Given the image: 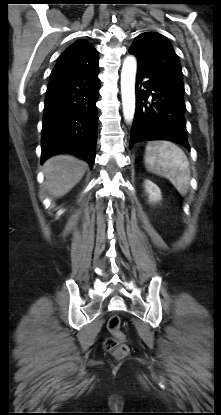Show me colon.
Listing matches in <instances>:
<instances>
[{"mask_svg":"<svg viewBox=\"0 0 221 415\" xmlns=\"http://www.w3.org/2000/svg\"><path fill=\"white\" fill-rule=\"evenodd\" d=\"M106 326L112 336L105 340V349L116 358H123L127 356L129 348L126 344L122 343L124 336L120 331L121 320L119 316H110L107 320Z\"/></svg>","mask_w":221,"mask_h":415,"instance_id":"colon-1","label":"colon"}]
</instances>
